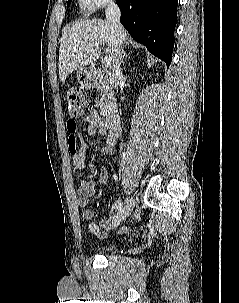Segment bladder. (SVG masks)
<instances>
[{
	"mask_svg": "<svg viewBox=\"0 0 239 303\" xmlns=\"http://www.w3.org/2000/svg\"><path fill=\"white\" fill-rule=\"evenodd\" d=\"M117 245L113 244V245H99L96 247V250L100 253H110L114 250L117 249Z\"/></svg>",
	"mask_w": 239,
	"mask_h": 303,
	"instance_id": "1",
	"label": "bladder"
}]
</instances>
